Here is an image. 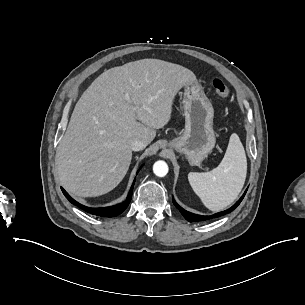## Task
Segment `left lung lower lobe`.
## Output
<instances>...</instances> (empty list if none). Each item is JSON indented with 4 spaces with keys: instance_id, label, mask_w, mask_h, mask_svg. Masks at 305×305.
Masks as SVG:
<instances>
[{
    "instance_id": "0a47b994",
    "label": "left lung lower lobe",
    "mask_w": 305,
    "mask_h": 305,
    "mask_svg": "<svg viewBox=\"0 0 305 305\" xmlns=\"http://www.w3.org/2000/svg\"><path fill=\"white\" fill-rule=\"evenodd\" d=\"M247 190L245 191V193L242 195V197L229 209L213 214L211 216H203V215H198V214H194L191 212H188L186 210H184L182 207H180L174 200L173 198V204L179 209V211L182 213V215L185 217L186 220H188L189 222H194V221H205V220H209L212 218H216V217H220L223 216L227 213H230L231 211H233L242 201V199L244 198L245 194H246Z\"/></svg>"
}]
</instances>
